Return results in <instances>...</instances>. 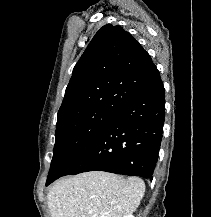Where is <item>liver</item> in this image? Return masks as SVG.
<instances>
[{
    "instance_id": "obj_1",
    "label": "liver",
    "mask_w": 211,
    "mask_h": 217,
    "mask_svg": "<svg viewBox=\"0 0 211 217\" xmlns=\"http://www.w3.org/2000/svg\"><path fill=\"white\" fill-rule=\"evenodd\" d=\"M144 192L138 177L91 171L59 180L47 203L51 217H124L135 212Z\"/></svg>"
}]
</instances>
